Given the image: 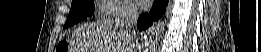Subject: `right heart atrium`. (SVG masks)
Segmentation results:
<instances>
[{
	"label": "right heart atrium",
	"mask_w": 261,
	"mask_h": 52,
	"mask_svg": "<svg viewBox=\"0 0 261 52\" xmlns=\"http://www.w3.org/2000/svg\"><path fill=\"white\" fill-rule=\"evenodd\" d=\"M101 3L107 7L101 11L108 17L131 18L136 13L134 5L129 0H102Z\"/></svg>",
	"instance_id": "obj_1"
}]
</instances>
